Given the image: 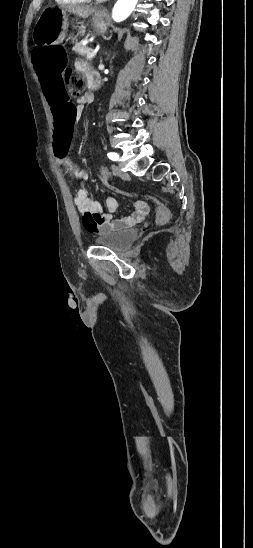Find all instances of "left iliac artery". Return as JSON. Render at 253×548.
Segmentation results:
<instances>
[{
	"label": "left iliac artery",
	"mask_w": 253,
	"mask_h": 548,
	"mask_svg": "<svg viewBox=\"0 0 253 548\" xmlns=\"http://www.w3.org/2000/svg\"><path fill=\"white\" fill-rule=\"evenodd\" d=\"M108 157H109V159H111V160H113V161H116V160L119 159L118 154H117V153H114V152L108 153Z\"/></svg>",
	"instance_id": "obj_1"
}]
</instances>
